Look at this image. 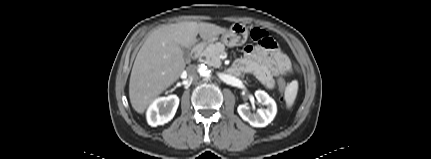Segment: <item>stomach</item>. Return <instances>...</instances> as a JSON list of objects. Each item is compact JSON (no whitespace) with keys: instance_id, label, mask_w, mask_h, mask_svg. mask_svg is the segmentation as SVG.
Here are the masks:
<instances>
[{"instance_id":"stomach-1","label":"stomach","mask_w":431,"mask_h":159,"mask_svg":"<svg viewBox=\"0 0 431 159\" xmlns=\"http://www.w3.org/2000/svg\"><path fill=\"white\" fill-rule=\"evenodd\" d=\"M248 37V30L245 25L241 23L233 24L228 30L224 33L220 34L214 39L208 41L209 43H213L217 39L225 44L228 47L241 46L243 45Z\"/></svg>"}]
</instances>
